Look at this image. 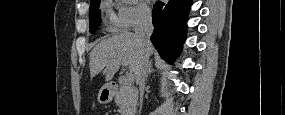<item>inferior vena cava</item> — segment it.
I'll return each mask as SVG.
<instances>
[{"label": "inferior vena cava", "instance_id": "inferior-vena-cava-1", "mask_svg": "<svg viewBox=\"0 0 285 115\" xmlns=\"http://www.w3.org/2000/svg\"><path fill=\"white\" fill-rule=\"evenodd\" d=\"M153 33L152 17L150 14H144L140 17L136 28H135V37L140 42L144 49L143 60L139 66L138 71L136 72V82L139 85L140 98L142 99L144 89H145V80H146V71L148 67V50L151 46L150 36ZM138 110L144 109V103L140 102L137 106Z\"/></svg>", "mask_w": 285, "mask_h": 115}]
</instances>
